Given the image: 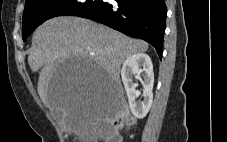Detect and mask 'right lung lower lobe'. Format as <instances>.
<instances>
[{
	"mask_svg": "<svg viewBox=\"0 0 227 142\" xmlns=\"http://www.w3.org/2000/svg\"><path fill=\"white\" fill-rule=\"evenodd\" d=\"M103 1L77 16L89 18L151 43L162 57L167 9L165 0Z\"/></svg>",
	"mask_w": 227,
	"mask_h": 142,
	"instance_id": "98d812e1",
	"label": "right lung lower lobe"
}]
</instances>
